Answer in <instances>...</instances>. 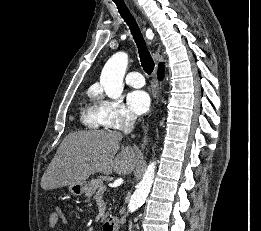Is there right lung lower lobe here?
I'll return each mask as SVG.
<instances>
[{"instance_id": "obj_1", "label": "right lung lower lobe", "mask_w": 261, "mask_h": 231, "mask_svg": "<svg viewBox=\"0 0 261 231\" xmlns=\"http://www.w3.org/2000/svg\"><path fill=\"white\" fill-rule=\"evenodd\" d=\"M163 73H164V67H163V65H161V66H159V70H158V77L160 79H162Z\"/></svg>"}]
</instances>
